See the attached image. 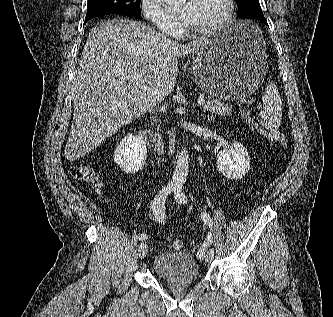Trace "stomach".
<instances>
[{
	"label": "stomach",
	"instance_id": "0dacf381",
	"mask_svg": "<svg viewBox=\"0 0 333 317\" xmlns=\"http://www.w3.org/2000/svg\"><path fill=\"white\" fill-rule=\"evenodd\" d=\"M266 44L259 24L237 22L209 35L193 62L196 83L218 99L262 95Z\"/></svg>",
	"mask_w": 333,
	"mask_h": 317
}]
</instances>
